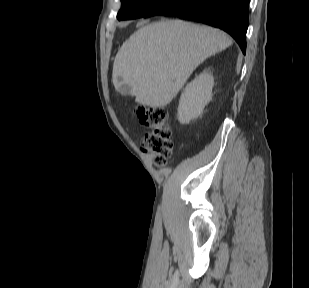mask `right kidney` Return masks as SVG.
I'll list each match as a JSON object with an SVG mask.
<instances>
[{
  "mask_svg": "<svg viewBox=\"0 0 309 288\" xmlns=\"http://www.w3.org/2000/svg\"><path fill=\"white\" fill-rule=\"evenodd\" d=\"M213 86V76L207 72L201 73L186 85L178 106V120L181 124L189 123L203 112L212 98Z\"/></svg>",
  "mask_w": 309,
  "mask_h": 288,
  "instance_id": "1",
  "label": "right kidney"
}]
</instances>
